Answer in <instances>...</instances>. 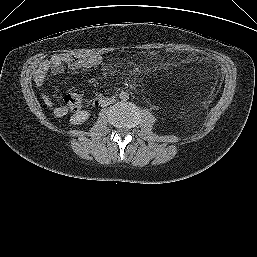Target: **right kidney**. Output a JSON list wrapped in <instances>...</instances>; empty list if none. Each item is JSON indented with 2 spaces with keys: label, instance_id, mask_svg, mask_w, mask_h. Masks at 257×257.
Segmentation results:
<instances>
[{
  "label": "right kidney",
  "instance_id": "ca27d5eb",
  "mask_svg": "<svg viewBox=\"0 0 257 257\" xmlns=\"http://www.w3.org/2000/svg\"><path fill=\"white\" fill-rule=\"evenodd\" d=\"M89 118V113L87 111H79L76 112L73 116L70 118V123L72 125H79L84 123Z\"/></svg>",
  "mask_w": 257,
  "mask_h": 257
}]
</instances>
